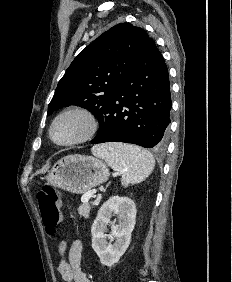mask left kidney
Instances as JSON below:
<instances>
[{"label":"left kidney","mask_w":232,"mask_h":282,"mask_svg":"<svg viewBox=\"0 0 232 282\" xmlns=\"http://www.w3.org/2000/svg\"><path fill=\"white\" fill-rule=\"evenodd\" d=\"M118 215L119 224L111 225V233L105 234L106 226L111 224L112 215ZM136 205L128 197H110L99 209L97 217L91 227L92 248L105 266H113L125 253L131 240V233L135 226ZM115 239L112 245L108 243Z\"/></svg>","instance_id":"left-kidney-1"}]
</instances>
